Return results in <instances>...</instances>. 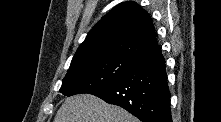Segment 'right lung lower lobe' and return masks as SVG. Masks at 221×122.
<instances>
[{
  "instance_id": "98d812e1",
  "label": "right lung lower lobe",
  "mask_w": 221,
  "mask_h": 122,
  "mask_svg": "<svg viewBox=\"0 0 221 122\" xmlns=\"http://www.w3.org/2000/svg\"><path fill=\"white\" fill-rule=\"evenodd\" d=\"M89 94L121 106L142 122H172L165 60L159 46L139 57L120 79Z\"/></svg>"
}]
</instances>
